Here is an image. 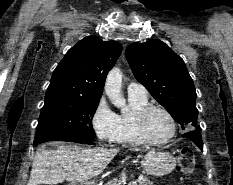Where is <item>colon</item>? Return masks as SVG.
Listing matches in <instances>:
<instances>
[{
  "label": "colon",
  "mask_w": 233,
  "mask_h": 185,
  "mask_svg": "<svg viewBox=\"0 0 233 185\" xmlns=\"http://www.w3.org/2000/svg\"><path fill=\"white\" fill-rule=\"evenodd\" d=\"M194 153L189 147H183L178 157V167L182 174L190 175L194 170Z\"/></svg>",
  "instance_id": "obj_1"
}]
</instances>
